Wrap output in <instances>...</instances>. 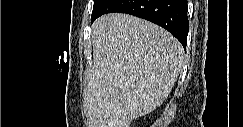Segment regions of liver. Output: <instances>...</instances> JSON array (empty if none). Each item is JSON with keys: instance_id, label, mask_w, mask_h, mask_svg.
Wrapping results in <instances>:
<instances>
[{"instance_id": "obj_1", "label": "liver", "mask_w": 243, "mask_h": 127, "mask_svg": "<svg viewBox=\"0 0 243 127\" xmlns=\"http://www.w3.org/2000/svg\"><path fill=\"white\" fill-rule=\"evenodd\" d=\"M93 64L84 102L89 127H130L170 94L184 60L180 42L163 28L127 14L92 25Z\"/></svg>"}]
</instances>
